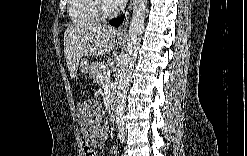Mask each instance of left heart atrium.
Wrapping results in <instances>:
<instances>
[{
  "instance_id": "1",
  "label": "left heart atrium",
  "mask_w": 247,
  "mask_h": 156,
  "mask_svg": "<svg viewBox=\"0 0 247 156\" xmlns=\"http://www.w3.org/2000/svg\"><path fill=\"white\" fill-rule=\"evenodd\" d=\"M125 0H112L111 1V3L113 4V5H123V4H125Z\"/></svg>"
}]
</instances>
